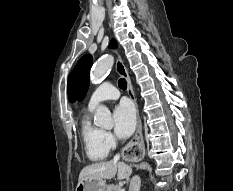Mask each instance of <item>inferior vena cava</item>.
<instances>
[{
	"label": "inferior vena cava",
	"mask_w": 233,
	"mask_h": 191,
	"mask_svg": "<svg viewBox=\"0 0 233 191\" xmlns=\"http://www.w3.org/2000/svg\"><path fill=\"white\" fill-rule=\"evenodd\" d=\"M120 159V155L117 154L114 157V161H118ZM141 186V179L138 175L133 176L130 182V190L129 191H139Z\"/></svg>",
	"instance_id": "inferior-vena-cava-1"
}]
</instances>
